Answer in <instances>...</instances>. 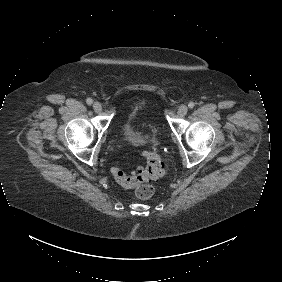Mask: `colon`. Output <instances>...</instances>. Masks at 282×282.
<instances>
[{"label":"colon","mask_w":282,"mask_h":282,"mask_svg":"<svg viewBox=\"0 0 282 282\" xmlns=\"http://www.w3.org/2000/svg\"><path fill=\"white\" fill-rule=\"evenodd\" d=\"M145 166L137 174L127 175L119 166L111 168L113 178L124 188L132 189L141 179H156L162 174V159L159 151L154 147L144 153ZM155 194V187L143 186L135 190L134 195L140 200H149Z\"/></svg>","instance_id":"colon-1"}]
</instances>
